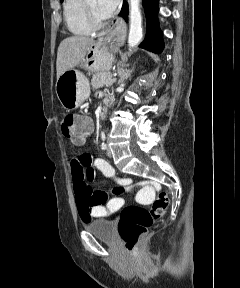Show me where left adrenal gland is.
Wrapping results in <instances>:
<instances>
[{"instance_id": "obj_1", "label": "left adrenal gland", "mask_w": 240, "mask_h": 288, "mask_svg": "<svg viewBox=\"0 0 240 288\" xmlns=\"http://www.w3.org/2000/svg\"><path fill=\"white\" fill-rule=\"evenodd\" d=\"M133 70H127V69H123V68H119L118 74H119V81L118 84L123 83L126 79H128V77L131 75Z\"/></svg>"}]
</instances>
